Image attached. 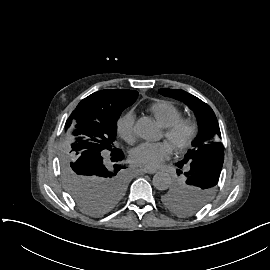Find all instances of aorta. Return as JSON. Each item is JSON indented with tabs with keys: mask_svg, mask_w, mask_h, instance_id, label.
Returning a JSON list of instances; mask_svg holds the SVG:
<instances>
[{
	"mask_svg": "<svg viewBox=\"0 0 270 270\" xmlns=\"http://www.w3.org/2000/svg\"><path fill=\"white\" fill-rule=\"evenodd\" d=\"M171 185V177L168 173L157 172L153 177V186L158 190H166Z\"/></svg>",
	"mask_w": 270,
	"mask_h": 270,
	"instance_id": "aorta-1",
	"label": "aorta"
}]
</instances>
